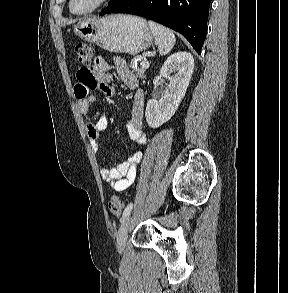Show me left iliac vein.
Masks as SVG:
<instances>
[{
    "label": "left iliac vein",
    "mask_w": 288,
    "mask_h": 293,
    "mask_svg": "<svg viewBox=\"0 0 288 293\" xmlns=\"http://www.w3.org/2000/svg\"><path fill=\"white\" fill-rule=\"evenodd\" d=\"M131 218H132L131 214L129 213L124 219V221L122 222L119 232L117 234L116 242H117V249L119 252H122L125 247L127 235L131 225Z\"/></svg>",
    "instance_id": "obj_1"
}]
</instances>
